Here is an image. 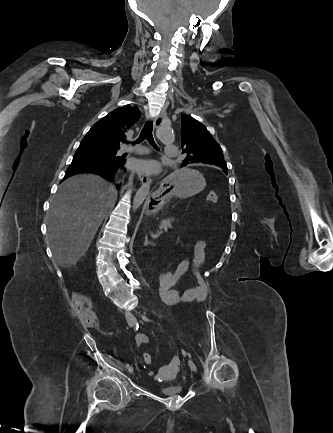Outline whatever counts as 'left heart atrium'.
<instances>
[{
	"label": "left heart atrium",
	"mask_w": 333,
	"mask_h": 433,
	"mask_svg": "<svg viewBox=\"0 0 333 433\" xmlns=\"http://www.w3.org/2000/svg\"><path fill=\"white\" fill-rule=\"evenodd\" d=\"M131 167L138 172L156 174L160 170V165L154 160L136 159L131 163Z\"/></svg>",
	"instance_id": "obj_1"
}]
</instances>
